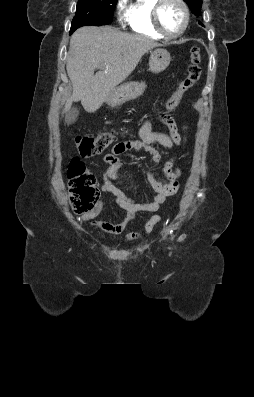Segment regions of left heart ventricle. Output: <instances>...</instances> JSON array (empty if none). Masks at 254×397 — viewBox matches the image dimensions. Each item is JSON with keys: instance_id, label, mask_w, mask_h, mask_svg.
Returning a JSON list of instances; mask_svg holds the SVG:
<instances>
[{"instance_id": "obj_1", "label": "left heart ventricle", "mask_w": 254, "mask_h": 397, "mask_svg": "<svg viewBox=\"0 0 254 397\" xmlns=\"http://www.w3.org/2000/svg\"><path fill=\"white\" fill-rule=\"evenodd\" d=\"M183 17L181 6L173 0H168L161 9V24L168 33L174 34L181 29Z\"/></svg>"}]
</instances>
